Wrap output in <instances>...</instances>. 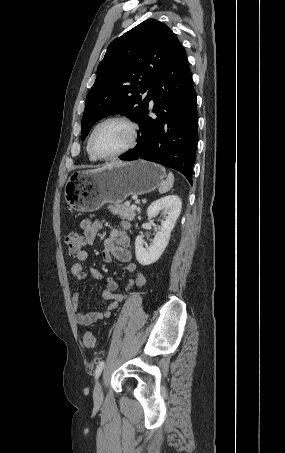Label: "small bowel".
Wrapping results in <instances>:
<instances>
[{
	"instance_id": "obj_1",
	"label": "small bowel",
	"mask_w": 285,
	"mask_h": 453,
	"mask_svg": "<svg viewBox=\"0 0 285 453\" xmlns=\"http://www.w3.org/2000/svg\"><path fill=\"white\" fill-rule=\"evenodd\" d=\"M104 227L101 221H92L91 219H83L79 223V228L84 234V239L87 245L92 246L96 241L99 230ZM130 228V223L126 220L121 221L114 227L109 236L104 240L103 260L106 263H111L113 260H118L124 263V271L133 274L134 276L129 280L126 286V293H117V282L113 277L106 279V289L103 291V298L106 301L103 312H88L83 313L79 311V293L75 292L72 297V309L75 313V321L80 326H91L92 324L109 318L111 312L118 307V305L126 300L128 294L140 289L144 286L146 279L142 273L137 269V265L131 261V252L129 250L130 240L127 230ZM88 257L87 251L83 250L76 258L79 261H85ZM72 275L78 280L82 281L88 275L93 279H101L100 271L94 267L84 268L81 263H74L71 266Z\"/></svg>"
}]
</instances>
